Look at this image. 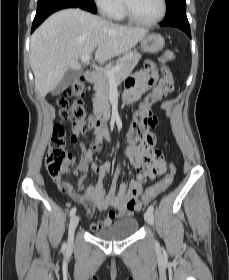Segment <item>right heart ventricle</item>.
<instances>
[{
    "label": "right heart ventricle",
    "mask_w": 229,
    "mask_h": 280,
    "mask_svg": "<svg viewBox=\"0 0 229 280\" xmlns=\"http://www.w3.org/2000/svg\"><path fill=\"white\" fill-rule=\"evenodd\" d=\"M123 16H124L123 10H122V8H120V9L115 13V15L113 16V19L121 20V19H123Z\"/></svg>",
    "instance_id": "right-heart-ventricle-1"
}]
</instances>
